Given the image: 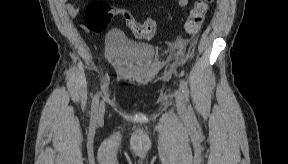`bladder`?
I'll return each instance as SVG.
<instances>
[{
  "label": "bladder",
  "mask_w": 288,
  "mask_h": 164,
  "mask_svg": "<svg viewBox=\"0 0 288 164\" xmlns=\"http://www.w3.org/2000/svg\"><path fill=\"white\" fill-rule=\"evenodd\" d=\"M106 54L122 78L136 80L150 68L156 51L145 41L133 42L113 35L106 44Z\"/></svg>",
  "instance_id": "obj_1"
}]
</instances>
